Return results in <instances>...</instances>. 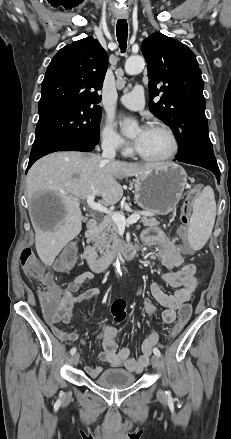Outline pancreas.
<instances>
[{
    "label": "pancreas",
    "mask_w": 231,
    "mask_h": 439,
    "mask_svg": "<svg viewBox=\"0 0 231 439\" xmlns=\"http://www.w3.org/2000/svg\"><path fill=\"white\" fill-rule=\"evenodd\" d=\"M118 213L122 215L123 211L121 210ZM140 214L142 215L140 222L144 226L154 227L160 224L156 218H150L148 213L142 212ZM117 233L118 226L114 223L111 216H105L103 221L90 236V240L94 243V246L98 248L100 255H105L118 245L119 240Z\"/></svg>",
    "instance_id": "cf45deb5"
}]
</instances>
